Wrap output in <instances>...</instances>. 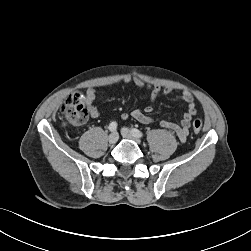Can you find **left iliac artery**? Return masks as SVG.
I'll list each match as a JSON object with an SVG mask.
<instances>
[{"label": "left iliac artery", "instance_id": "obj_1", "mask_svg": "<svg viewBox=\"0 0 251 251\" xmlns=\"http://www.w3.org/2000/svg\"><path fill=\"white\" fill-rule=\"evenodd\" d=\"M132 132H133V134H135L138 137H142L143 136V133L140 130L136 129V128H133Z\"/></svg>", "mask_w": 251, "mask_h": 251}]
</instances>
